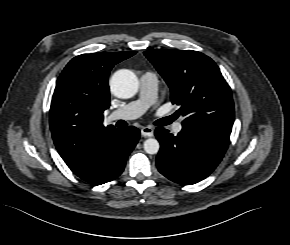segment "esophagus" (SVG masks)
<instances>
[{
  "mask_svg": "<svg viewBox=\"0 0 290 245\" xmlns=\"http://www.w3.org/2000/svg\"><path fill=\"white\" fill-rule=\"evenodd\" d=\"M141 135L143 137H152L154 135L153 129L149 126L142 127Z\"/></svg>",
  "mask_w": 290,
  "mask_h": 245,
  "instance_id": "esophagus-1",
  "label": "esophagus"
}]
</instances>
